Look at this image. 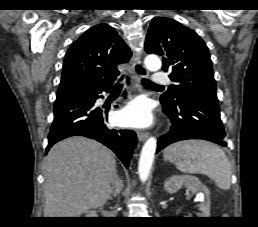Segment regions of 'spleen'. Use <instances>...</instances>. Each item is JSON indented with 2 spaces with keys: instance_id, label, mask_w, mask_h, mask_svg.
<instances>
[{
  "instance_id": "spleen-1",
  "label": "spleen",
  "mask_w": 258,
  "mask_h": 227,
  "mask_svg": "<svg viewBox=\"0 0 258 227\" xmlns=\"http://www.w3.org/2000/svg\"><path fill=\"white\" fill-rule=\"evenodd\" d=\"M164 157L181 172L206 175L218 188L230 189L231 164L225 152L213 143L204 140L179 141L165 148Z\"/></svg>"
}]
</instances>
